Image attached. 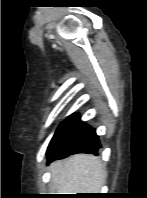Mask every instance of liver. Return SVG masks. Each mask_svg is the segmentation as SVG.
<instances>
[{
  "mask_svg": "<svg viewBox=\"0 0 147 198\" xmlns=\"http://www.w3.org/2000/svg\"><path fill=\"white\" fill-rule=\"evenodd\" d=\"M57 194L98 193L106 179L102 163L94 155L77 154L49 166Z\"/></svg>",
  "mask_w": 147,
  "mask_h": 198,
  "instance_id": "obj_1",
  "label": "liver"
}]
</instances>
